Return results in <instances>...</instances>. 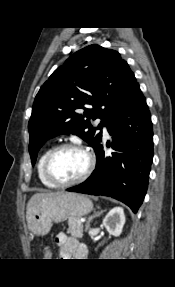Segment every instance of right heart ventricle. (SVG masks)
Returning a JSON list of instances; mask_svg holds the SVG:
<instances>
[{"label":"right heart ventricle","instance_id":"right-heart-ventricle-1","mask_svg":"<svg viewBox=\"0 0 175 287\" xmlns=\"http://www.w3.org/2000/svg\"><path fill=\"white\" fill-rule=\"evenodd\" d=\"M52 148H53L52 146L45 148L44 151L39 156V159L37 162V175H38L39 181L41 182L42 185H44L45 187H48V188H53L54 186L51 183H49L46 180V178L44 177L43 165H44V161H45L46 156L48 155V153L50 152V150Z\"/></svg>","mask_w":175,"mask_h":287}]
</instances>
